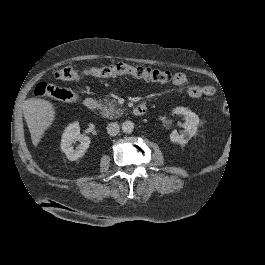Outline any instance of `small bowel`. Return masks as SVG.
Listing matches in <instances>:
<instances>
[{
    "label": "small bowel",
    "mask_w": 265,
    "mask_h": 265,
    "mask_svg": "<svg viewBox=\"0 0 265 265\" xmlns=\"http://www.w3.org/2000/svg\"><path fill=\"white\" fill-rule=\"evenodd\" d=\"M187 76L184 73H176L173 76V84L176 86H183L187 83ZM188 95L192 98H199L201 96H211L215 93V87L212 84L203 86L191 85L189 86Z\"/></svg>",
    "instance_id": "small-bowel-1"
}]
</instances>
